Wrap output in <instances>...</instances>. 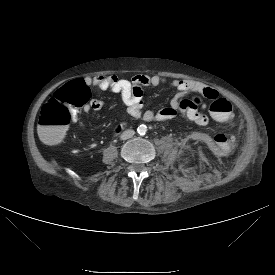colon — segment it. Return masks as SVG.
Masks as SVG:
<instances>
[{
    "instance_id": "colon-1",
    "label": "colon",
    "mask_w": 275,
    "mask_h": 275,
    "mask_svg": "<svg viewBox=\"0 0 275 275\" xmlns=\"http://www.w3.org/2000/svg\"><path fill=\"white\" fill-rule=\"evenodd\" d=\"M210 101V111L221 122L233 117V106L225 98L213 92L204 95ZM89 102V89L82 80L71 81L60 87L43 105L38 118L41 140L46 144L60 142L67 133L72 112L85 107ZM194 107L204 106V101L196 97L190 100Z\"/></svg>"
}]
</instances>
